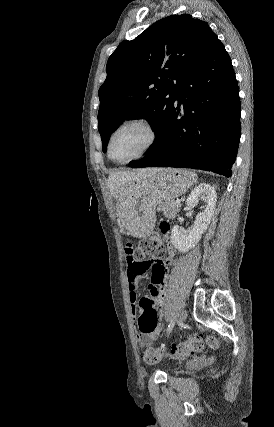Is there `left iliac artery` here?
<instances>
[{
    "label": "left iliac artery",
    "mask_w": 274,
    "mask_h": 427,
    "mask_svg": "<svg viewBox=\"0 0 274 427\" xmlns=\"http://www.w3.org/2000/svg\"><path fill=\"white\" fill-rule=\"evenodd\" d=\"M174 324H175V319H173V320L169 323V325H168V327H167V334H169V333L172 331V329H173V327H174Z\"/></svg>",
    "instance_id": "left-iliac-artery-1"
}]
</instances>
